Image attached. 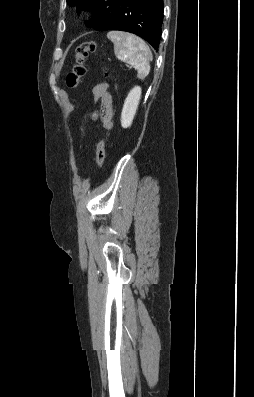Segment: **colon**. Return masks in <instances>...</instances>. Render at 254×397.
<instances>
[{
  "instance_id": "1",
  "label": "colon",
  "mask_w": 254,
  "mask_h": 397,
  "mask_svg": "<svg viewBox=\"0 0 254 397\" xmlns=\"http://www.w3.org/2000/svg\"><path fill=\"white\" fill-rule=\"evenodd\" d=\"M98 50V44L94 41L85 42L79 45L76 49L75 64L71 72L66 76V85L75 89L81 84L83 77L86 74V60L87 57ZM106 140L100 139L96 146V163L98 168H101L104 163L106 153Z\"/></svg>"
}]
</instances>
